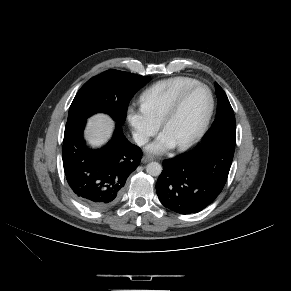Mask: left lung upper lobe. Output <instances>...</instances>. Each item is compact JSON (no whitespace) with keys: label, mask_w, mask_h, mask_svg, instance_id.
<instances>
[{"label":"left lung upper lobe","mask_w":291,"mask_h":291,"mask_svg":"<svg viewBox=\"0 0 291 291\" xmlns=\"http://www.w3.org/2000/svg\"><path fill=\"white\" fill-rule=\"evenodd\" d=\"M215 91L218 99L216 118L204 141L220 136L236 137L235 116L230 102L224 90L216 82Z\"/></svg>","instance_id":"5c2ea615"}]
</instances>
